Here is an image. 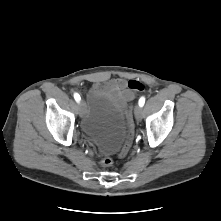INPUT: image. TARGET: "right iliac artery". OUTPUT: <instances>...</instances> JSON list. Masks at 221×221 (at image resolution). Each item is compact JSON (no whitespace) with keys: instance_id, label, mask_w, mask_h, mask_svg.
Returning a JSON list of instances; mask_svg holds the SVG:
<instances>
[{"instance_id":"1","label":"right iliac artery","mask_w":221,"mask_h":221,"mask_svg":"<svg viewBox=\"0 0 221 221\" xmlns=\"http://www.w3.org/2000/svg\"><path fill=\"white\" fill-rule=\"evenodd\" d=\"M74 99L77 101V102H79L80 101V95L78 94V93H75L74 94Z\"/></svg>"}]
</instances>
